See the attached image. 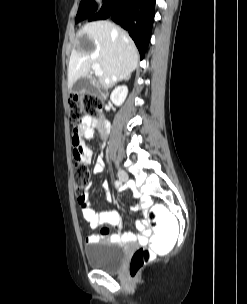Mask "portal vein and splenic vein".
Segmentation results:
<instances>
[{
  "label": "portal vein and splenic vein",
  "instance_id": "obj_1",
  "mask_svg": "<svg viewBox=\"0 0 247 304\" xmlns=\"http://www.w3.org/2000/svg\"><path fill=\"white\" fill-rule=\"evenodd\" d=\"M92 69L94 70L96 76H101L103 74V71L99 64H93Z\"/></svg>",
  "mask_w": 247,
  "mask_h": 304
}]
</instances>
